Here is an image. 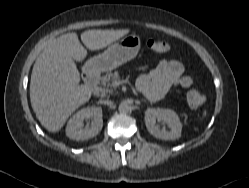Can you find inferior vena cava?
Listing matches in <instances>:
<instances>
[{"instance_id": "obj_1", "label": "inferior vena cava", "mask_w": 249, "mask_h": 188, "mask_svg": "<svg viewBox=\"0 0 249 188\" xmlns=\"http://www.w3.org/2000/svg\"><path fill=\"white\" fill-rule=\"evenodd\" d=\"M103 103L108 105V106H111L113 104V102L110 100H104Z\"/></svg>"}]
</instances>
